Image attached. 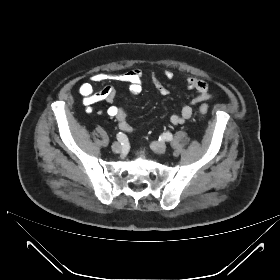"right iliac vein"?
Wrapping results in <instances>:
<instances>
[{"mask_svg": "<svg viewBox=\"0 0 280 280\" xmlns=\"http://www.w3.org/2000/svg\"><path fill=\"white\" fill-rule=\"evenodd\" d=\"M111 148H112V151L115 153H120L122 151V145L118 142L113 143Z\"/></svg>", "mask_w": 280, "mask_h": 280, "instance_id": "63e3f726", "label": "right iliac vein"}]
</instances>
